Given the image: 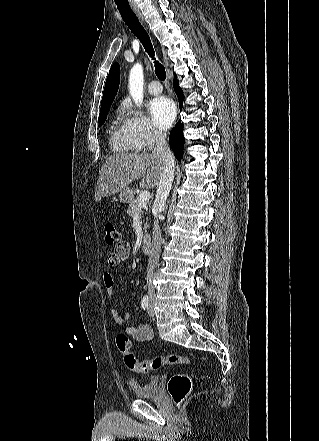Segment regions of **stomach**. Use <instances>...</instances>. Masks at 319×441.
<instances>
[{"label":"stomach","mask_w":319,"mask_h":441,"mask_svg":"<svg viewBox=\"0 0 319 441\" xmlns=\"http://www.w3.org/2000/svg\"><path fill=\"white\" fill-rule=\"evenodd\" d=\"M132 199V192L129 189H125L123 191L120 192L119 194V200L122 203H127L130 202Z\"/></svg>","instance_id":"stomach-1"}]
</instances>
